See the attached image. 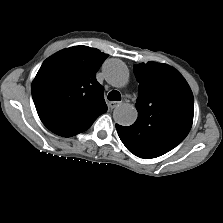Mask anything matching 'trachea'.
<instances>
[{
  "instance_id": "trachea-1",
  "label": "trachea",
  "mask_w": 223,
  "mask_h": 223,
  "mask_svg": "<svg viewBox=\"0 0 223 223\" xmlns=\"http://www.w3.org/2000/svg\"><path fill=\"white\" fill-rule=\"evenodd\" d=\"M108 100L110 101H120L121 94L117 90H113L108 94Z\"/></svg>"
}]
</instances>
